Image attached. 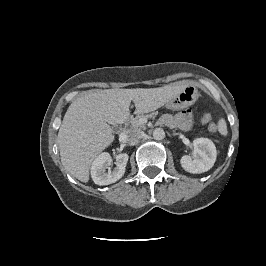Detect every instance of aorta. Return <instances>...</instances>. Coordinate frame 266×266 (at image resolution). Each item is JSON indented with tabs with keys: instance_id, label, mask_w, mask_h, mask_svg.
<instances>
[{
	"instance_id": "obj_1",
	"label": "aorta",
	"mask_w": 266,
	"mask_h": 266,
	"mask_svg": "<svg viewBox=\"0 0 266 266\" xmlns=\"http://www.w3.org/2000/svg\"><path fill=\"white\" fill-rule=\"evenodd\" d=\"M153 138L155 140H162L165 138V131L162 128H156L153 131Z\"/></svg>"
}]
</instances>
